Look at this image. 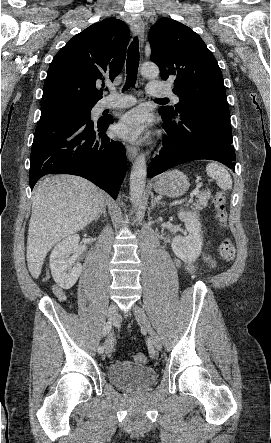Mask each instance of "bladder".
<instances>
[{
    "label": "bladder",
    "instance_id": "1",
    "mask_svg": "<svg viewBox=\"0 0 271 443\" xmlns=\"http://www.w3.org/2000/svg\"><path fill=\"white\" fill-rule=\"evenodd\" d=\"M108 378L116 387L138 392L151 387L156 379V371L147 365L130 361H117L108 368Z\"/></svg>",
    "mask_w": 271,
    "mask_h": 443
}]
</instances>
